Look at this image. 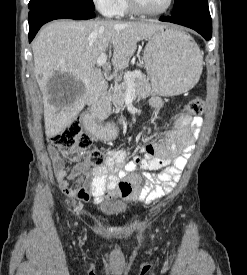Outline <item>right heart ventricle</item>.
<instances>
[{"mask_svg":"<svg viewBox=\"0 0 247 275\" xmlns=\"http://www.w3.org/2000/svg\"><path fill=\"white\" fill-rule=\"evenodd\" d=\"M131 12V9L129 7V4L127 0H119L118 8L116 10L115 15L116 16H124Z\"/></svg>","mask_w":247,"mask_h":275,"instance_id":"right-heart-ventricle-1","label":"right heart ventricle"}]
</instances>
